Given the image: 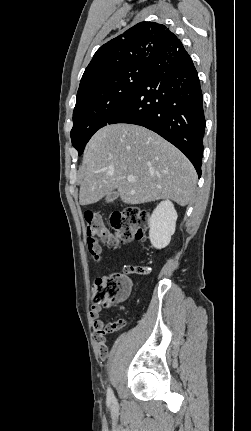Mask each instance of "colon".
Wrapping results in <instances>:
<instances>
[{
	"label": "colon",
	"instance_id": "colon-1",
	"mask_svg": "<svg viewBox=\"0 0 251 431\" xmlns=\"http://www.w3.org/2000/svg\"><path fill=\"white\" fill-rule=\"evenodd\" d=\"M85 234L90 254L99 260L102 244L115 248L134 239L143 241L147 236L148 211L139 207H128L110 217L109 225L95 212L85 213ZM145 267L127 265L123 273H114L97 278L92 285L94 305L110 308L124 301L131 289L130 276L144 274ZM124 325L123 320L110 324L111 329Z\"/></svg>",
	"mask_w": 251,
	"mask_h": 431
}]
</instances>
